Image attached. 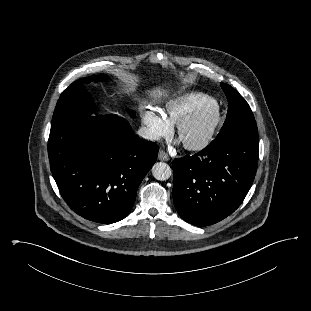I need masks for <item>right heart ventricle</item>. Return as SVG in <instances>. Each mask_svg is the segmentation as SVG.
<instances>
[{
    "mask_svg": "<svg viewBox=\"0 0 311 311\" xmlns=\"http://www.w3.org/2000/svg\"><path fill=\"white\" fill-rule=\"evenodd\" d=\"M211 101L213 99L203 93H185L167 101L161 114L165 121L172 127L177 125L181 119L193 110Z\"/></svg>",
    "mask_w": 311,
    "mask_h": 311,
    "instance_id": "1",
    "label": "right heart ventricle"
}]
</instances>
